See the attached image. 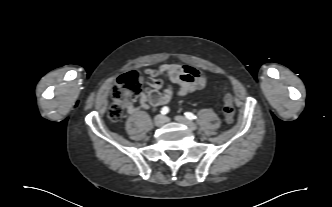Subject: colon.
<instances>
[{
	"mask_svg": "<svg viewBox=\"0 0 332 207\" xmlns=\"http://www.w3.org/2000/svg\"><path fill=\"white\" fill-rule=\"evenodd\" d=\"M142 74L138 71H130L120 76L112 89V103L108 111V117L112 121H119L126 112L127 105L142 92ZM224 119L228 124L234 120L233 97L225 91L223 105Z\"/></svg>",
	"mask_w": 332,
	"mask_h": 207,
	"instance_id": "1",
	"label": "colon"
}]
</instances>
